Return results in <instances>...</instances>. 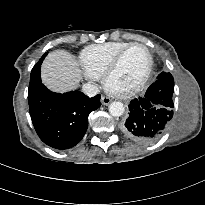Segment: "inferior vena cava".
Here are the masks:
<instances>
[{"mask_svg":"<svg viewBox=\"0 0 205 205\" xmlns=\"http://www.w3.org/2000/svg\"><path fill=\"white\" fill-rule=\"evenodd\" d=\"M82 91L88 97H94L99 93V89L94 84H84L82 86Z\"/></svg>","mask_w":205,"mask_h":205,"instance_id":"1","label":"inferior vena cava"}]
</instances>
